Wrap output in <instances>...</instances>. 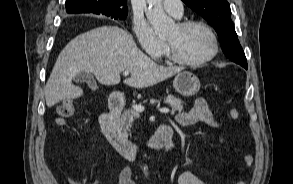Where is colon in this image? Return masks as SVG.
<instances>
[{
	"label": "colon",
	"instance_id": "5ec220e1",
	"mask_svg": "<svg viewBox=\"0 0 293 184\" xmlns=\"http://www.w3.org/2000/svg\"><path fill=\"white\" fill-rule=\"evenodd\" d=\"M74 113V107L72 103L68 100L63 101L57 108L58 121L59 123H64L69 119ZM229 115L233 120L239 118V112L236 109H231ZM244 166L248 169L253 163V157L249 154H246L243 157ZM235 184H247V178L244 177L241 180L237 181Z\"/></svg>",
	"mask_w": 293,
	"mask_h": 184
}]
</instances>
